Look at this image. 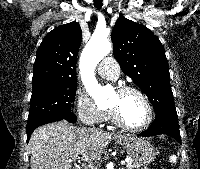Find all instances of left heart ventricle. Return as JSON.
I'll return each mask as SVG.
<instances>
[{
    "label": "left heart ventricle",
    "mask_w": 200,
    "mask_h": 169,
    "mask_svg": "<svg viewBox=\"0 0 200 169\" xmlns=\"http://www.w3.org/2000/svg\"><path fill=\"white\" fill-rule=\"evenodd\" d=\"M108 106L115 107L129 126L139 127L147 120V107L143 99L135 93L118 94L114 91L108 100Z\"/></svg>",
    "instance_id": "left-heart-ventricle-1"
}]
</instances>
